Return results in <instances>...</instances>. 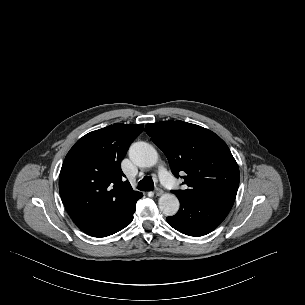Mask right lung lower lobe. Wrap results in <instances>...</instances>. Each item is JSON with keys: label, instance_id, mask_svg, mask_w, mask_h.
Masks as SVG:
<instances>
[{"label": "right lung lower lobe", "instance_id": "98d812e1", "mask_svg": "<svg viewBox=\"0 0 305 305\" xmlns=\"http://www.w3.org/2000/svg\"><path fill=\"white\" fill-rule=\"evenodd\" d=\"M135 204L132 205L129 209H127V211L122 213L120 216L113 219L107 225L103 227L90 228L83 231L86 234L93 237H106L122 230L127 225H129L133 220V214L135 212Z\"/></svg>", "mask_w": 305, "mask_h": 305}]
</instances>
